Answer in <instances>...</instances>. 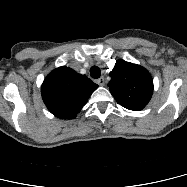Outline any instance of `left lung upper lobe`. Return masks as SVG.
<instances>
[{
  "instance_id": "1",
  "label": "left lung upper lobe",
  "mask_w": 187,
  "mask_h": 187,
  "mask_svg": "<svg viewBox=\"0 0 187 187\" xmlns=\"http://www.w3.org/2000/svg\"><path fill=\"white\" fill-rule=\"evenodd\" d=\"M110 92L118 104L129 110H142L153 93L150 73L140 65L118 60L111 71Z\"/></svg>"
}]
</instances>
